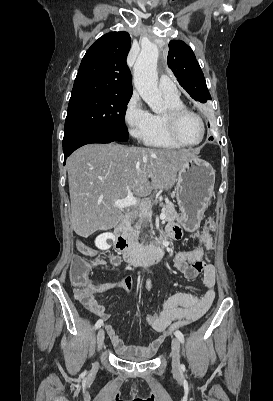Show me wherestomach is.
<instances>
[{
  "label": "stomach",
  "mask_w": 273,
  "mask_h": 401,
  "mask_svg": "<svg viewBox=\"0 0 273 401\" xmlns=\"http://www.w3.org/2000/svg\"><path fill=\"white\" fill-rule=\"evenodd\" d=\"M214 184L215 170L207 160H188L179 168L175 192L181 217L177 221L188 233L199 229Z\"/></svg>",
  "instance_id": "0dacf381"
}]
</instances>
